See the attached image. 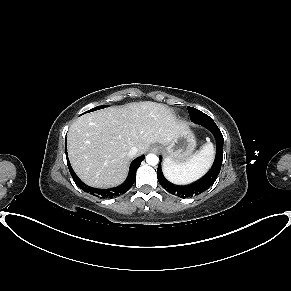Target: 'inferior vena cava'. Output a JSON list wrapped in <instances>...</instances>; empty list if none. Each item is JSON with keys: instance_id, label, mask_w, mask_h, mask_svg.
Here are the masks:
<instances>
[{"instance_id": "obj_1", "label": "inferior vena cava", "mask_w": 291, "mask_h": 291, "mask_svg": "<svg viewBox=\"0 0 291 291\" xmlns=\"http://www.w3.org/2000/svg\"><path fill=\"white\" fill-rule=\"evenodd\" d=\"M137 152H138L137 147H132V148L129 150V152H128V156H129L130 158H133V157H135V156L137 155Z\"/></svg>"}]
</instances>
